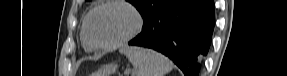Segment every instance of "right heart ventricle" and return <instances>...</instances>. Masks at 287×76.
Wrapping results in <instances>:
<instances>
[{
    "instance_id": "obj_1",
    "label": "right heart ventricle",
    "mask_w": 287,
    "mask_h": 76,
    "mask_svg": "<svg viewBox=\"0 0 287 76\" xmlns=\"http://www.w3.org/2000/svg\"><path fill=\"white\" fill-rule=\"evenodd\" d=\"M81 40H82V45H83V48L86 50V51H92L94 48L90 45V43L87 41L86 37H85V34H84V26L82 28V32H81Z\"/></svg>"
}]
</instances>
